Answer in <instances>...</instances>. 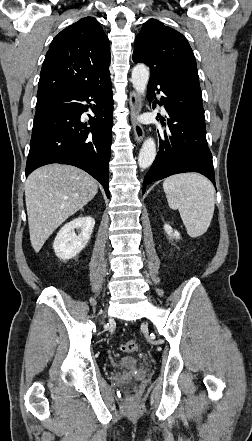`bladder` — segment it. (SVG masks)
Returning a JSON list of instances; mask_svg holds the SVG:
<instances>
[{
  "label": "bladder",
  "instance_id": "1",
  "mask_svg": "<svg viewBox=\"0 0 252 441\" xmlns=\"http://www.w3.org/2000/svg\"><path fill=\"white\" fill-rule=\"evenodd\" d=\"M137 364H138L137 358L125 356V357H121L113 364V369L114 370L129 369L137 366Z\"/></svg>",
  "mask_w": 252,
  "mask_h": 441
}]
</instances>
